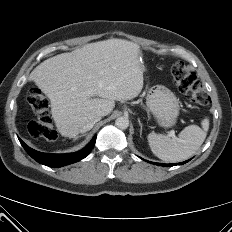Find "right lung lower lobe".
<instances>
[{"label": "right lung lower lobe", "instance_id": "right-lung-lower-lobe-1", "mask_svg": "<svg viewBox=\"0 0 232 232\" xmlns=\"http://www.w3.org/2000/svg\"><path fill=\"white\" fill-rule=\"evenodd\" d=\"M19 141L22 144L25 151L37 162L49 167H61L80 161L81 159L88 156L95 145L96 135L83 150L69 154L41 153L28 147L20 138Z\"/></svg>", "mask_w": 232, "mask_h": 232}]
</instances>
